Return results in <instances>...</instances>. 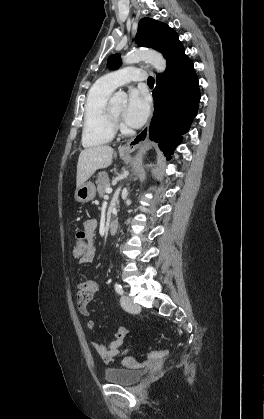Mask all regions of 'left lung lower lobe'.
Returning a JSON list of instances; mask_svg holds the SVG:
<instances>
[{
	"label": "left lung lower lobe",
	"mask_w": 264,
	"mask_h": 419,
	"mask_svg": "<svg viewBox=\"0 0 264 419\" xmlns=\"http://www.w3.org/2000/svg\"><path fill=\"white\" fill-rule=\"evenodd\" d=\"M162 54L167 69L157 75L156 87L152 91L154 115L149 138L159 142L165 156L171 158L183 138L181 134L188 132L197 115L200 91L193 63L179 39Z\"/></svg>",
	"instance_id": "1"
}]
</instances>
